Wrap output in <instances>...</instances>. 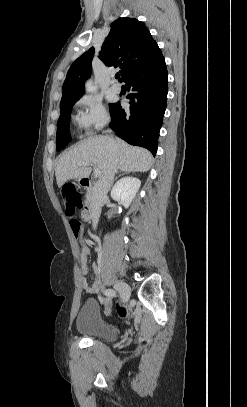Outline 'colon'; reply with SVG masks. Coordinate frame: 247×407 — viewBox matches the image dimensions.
I'll use <instances>...</instances> for the list:
<instances>
[{
  "instance_id": "1",
  "label": "colon",
  "mask_w": 247,
  "mask_h": 407,
  "mask_svg": "<svg viewBox=\"0 0 247 407\" xmlns=\"http://www.w3.org/2000/svg\"><path fill=\"white\" fill-rule=\"evenodd\" d=\"M61 195L64 201L65 214L67 216H73L78 208L82 205V197L76 192L75 186L73 184L65 185L61 190ZM71 228L74 234L78 237L81 233V224L79 221L73 219L71 220ZM118 315L121 318L128 317V309L126 307L117 308Z\"/></svg>"
}]
</instances>
